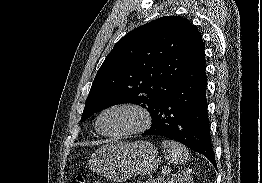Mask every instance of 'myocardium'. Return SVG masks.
<instances>
[{
    "mask_svg": "<svg viewBox=\"0 0 262 183\" xmlns=\"http://www.w3.org/2000/svg\"><path fill=\"white\" fill-rule=\"evenodd\" d=\"M115 109H131L136 111L137 113H139V115L141 116V122L139 125H137L136 127L124 131V132H120V133H106L104 131L101 130L100 128V122H101V118L103 117V115L109 111L115 110ZM152 124V115L150 113V111L148 110L147 107H145L144 105L140 104V103H136V102H129V101H125V102H119V103H114L111 104L109 106H107L106 108H104L98 115L97 119H96V130L103 136L107 137V138H124V137H128L134 134H138V133H142L144 131H146Z\"/></svg>",
    "mask_w": 262,
    "mask_h": 183,
    "instance_id": "f54148a6",
    "label": "myocardium"
}]
</instances>
